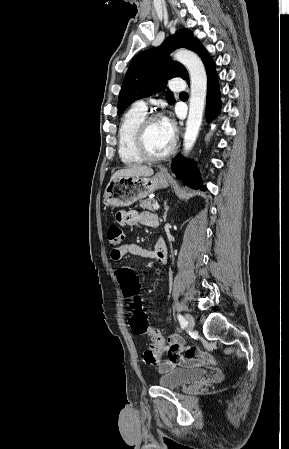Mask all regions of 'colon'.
Listing matches in <instances>:
<instances>
[{"mask_svg":"<svg viewBox=\"0 0 289 449\" xmlns=\"http://www.w3.org/2000/svg\"><path fill=\"white\" fill-rule=\"evenodd\" d=\"M107 240L111 248L120 247L124 240L123 230L117 225L109 226ZM116 278L119 280L124 305H130V328L136 334L148 335L151 339V344L144 354L145 361L150 365H156L160 356L166 352L164 349L166 342L160 331L151 327L147 321V317L142 309L140 285L134 269L118 268Z\"/></svg>","mask_w":289,"mask_h":449,"instance_id":"colon-1","label":"colon"}]
</instances>
